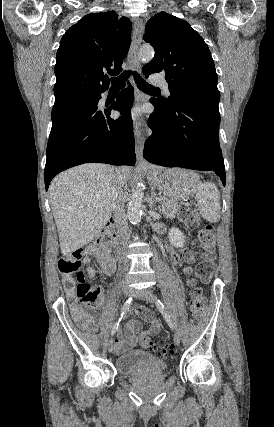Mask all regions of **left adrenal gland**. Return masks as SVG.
Instances as JSON below:
<instances>
[{
	"label": "left adrenal gland",
	"instance_id": "a2214340",
	"mask_svg": "<svg viewBox=\"0 0 274 427\" xmlns=\"http://www.w3.org/2000/svg\"><path fill=\"white\" fill-rule=\"evenodd\" d=\"M154 200H155V188H152L151 196L150 198H148V200H146V202L147 204H149V208H151V210H155V212H157L158 208H156V204Z\"/></svg>",
	"mask_w": 274,
	"mask_h": 427
}]
</instances>
